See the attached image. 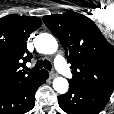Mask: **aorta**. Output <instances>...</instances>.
Listing matches in <instances>:
<instances>
[{"mask_svg":"<svg viewBox=\"0 0 114 114\" xmlns=\"http://www.w3.org/2000/svg\"><path fill=\"white\" fill-rule=\"evenodd\" d=\"M35 48L39 53L53 54L57 51L58 43L56 39L48 33H41L34 39ZM53 88L60 94H64L68 91L69 84L67 79L63 77H57L53 80Z\"/></svg>","mask_w":114,"mask_h":114,"instance_id":"1","label":"aorta"}]
</instances>
